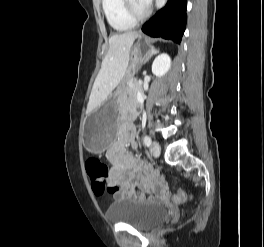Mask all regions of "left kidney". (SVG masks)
I'll return each instance as SVG.
<instances>
[{"mask_svg":"<svg viewBox=\"0 0 264 247\" xmlns=\"http://www.w3.org/2000/svg\"><path fill=\"white\" fill-rule=\"evenodd\" d=\"M171 67V59L168 54L158 55L152 63V73L158 77L164 76Z\"/></svg>","mask_w":264,"mask_h":247,"instance_id":"left-kidney-1","label":"left kidney"}]
</instances>
